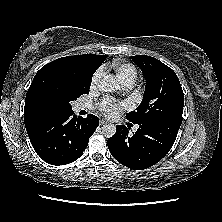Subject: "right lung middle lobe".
<instances>
[{
	"label": "right lung middle lobe",
	"mask_w": 222,
	"mask_h": 222,
	"mask_svg": "<svg viewBox=\"0 0 222 222\" xmlns=\"http://www.w3.org/2000/svg\"><path fill=\"white\" fill-rule=\"evenodd\" d=\"M91 80L92 75L74 74L63 68H54L50 71L49 80L41 89L40 96L58 111H70L71 101L89 93Z\"/></svg>",
	"instance_id": "dd1d6c3e"
}]
</instances>
